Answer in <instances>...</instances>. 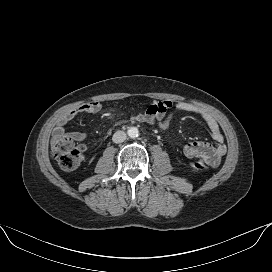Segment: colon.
Segmentation results:
<instances>
[{"label":"colon","mask_w":272,"mask_h":272,"mask_svg":"<svg viewBox=\"0 0 272 272\" xmlns=\"http://www.w3.org/2000/svg\"><path fill=\"white\" fill-rule=\"evenodd\" d=\"M172 113L168 110L164 115L154 116V125L160 129H167L171 123ZM51 155L58 165L67 171H71L80 166L84 160L81 149L74 143L69 135H55L51 141ZM190 167L196 170H206L207 165L198 160L193 161Z\"/></svg>","instance_id":"obj_1"}]
</instances>
